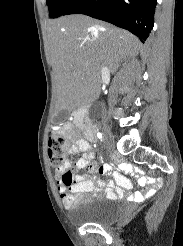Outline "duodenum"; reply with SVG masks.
<instances>
[{"mask_svg": "<svg viewBox=\"0 0 183 246\" xmlns=\"http://www.w3.org/2000/svg\"><path fill=\"white\" fill-rule=\"evenodd\" d=\"M88 105L84 104L83 107L78 108L76 111H71V116H74V121L84 129L86 137L90 140L94 139L95 126L87 118Z\"/></svg>", "mask_w": 183, "mask_h": 246, "instance_id": "obj_1", "label": "duodenum"}]
</instances>
